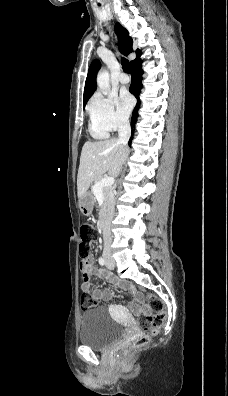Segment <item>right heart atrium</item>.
<instances>
[{"label": "right heart atrium", "instance_id": "right-heart-atrium-1", "mask_svg": "<svg viewBox=\"0 0 228 396\" xmlns=\"http://www.w3.org/2000/svg\"><path fill=\"white\" fill-rule=\"evenodd\" d=\"M91 121L106 132L116 131L127 125L128 120L115 108L113 97L98 93L89 103Z\"/></svg>", "mask_w": 228, "mask_h": 396}]
</instances>
